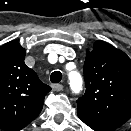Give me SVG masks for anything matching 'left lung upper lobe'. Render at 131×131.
Wrapping results in <instances>:
<instances>
[{"label":"left lung upper lobe","mask_w":131,"mask_h":131,"mask_svg":"<svg viewBox=\"0 0 131 131\" xmlns=\"http://www.w3.org/2000/svg\"><path fill=\"white\" fill-rule=\"evenodd\" d=\"M85 95L77 100L81 121L95 131H114L131 117V60L121 50L96 41L86 51Z\"/></svg>","instance_id":"5c2ea615"}]
</instances>
